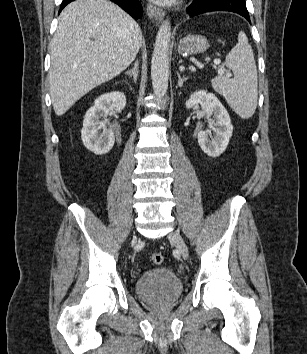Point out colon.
Instances as JSON below:
<instances>
[{
	"mask_svg": "<svg viewBox=\"0 0 307 354\" xmlns=\"http://www.w3.org/2000/svg\"><path fill=\"white\" fill-rule=\"evenodd\" d=\"M151 260H152V262H153L154 264L160 265V264L163 263L164 257H163V255L160 254V253H154V254H152V256H151Z\"/></svg>",
	"mask_w": 307,
	"mask_h": 354,
	"instance_id": "1",
	"label": "colon"
}]
</instances>
